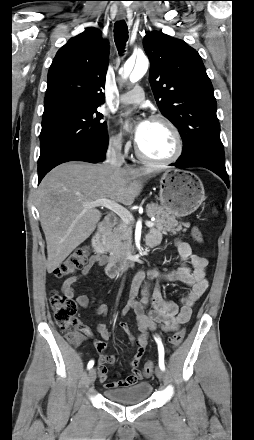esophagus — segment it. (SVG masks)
Instances as JSON below:
<instances>
[{
	"label": "esophagus",
	"instance_id": "obj_1",
	"mask_svg": "<svg viewBox=\"0 0 254 440\" xmlns=\"http://www.w3.org/2000/svg\"><path fill=\"white\" fill-rule=\"evenodd\" d=\"M117 19H118V20H123V19H125V15H118V16H117Z\"/></svg>",
	"mask_w": 254,
	"mask_h": 440
}]
</instances>
